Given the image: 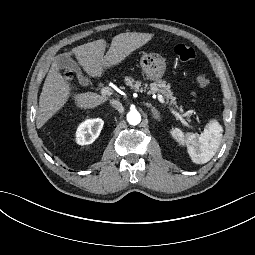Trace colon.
Wrapping results in <instances>:
<instances>
[{"instance_id": "1", "label": "colon", "mask_w": 255, "mask_h": 255, "mask_svg": "<svg viewBox=\"0 0 255 255\" xmlns=\"http://www.w3.org/2000/svg\"><path fill=\"white\" fill-rule=\"evenodd\" d=\"M175 55L182 61H191L196 57V51L193 47L187 44H178L174 49ZM65 78L71 79L73 73L71 71H66L64 73ZM197 84L201 88H205L209 84V77L207 73L200 72L196 78Z\"/></svg>"}]
</instances>
